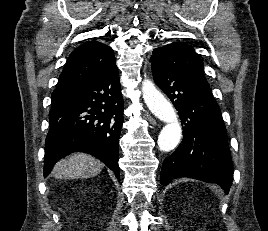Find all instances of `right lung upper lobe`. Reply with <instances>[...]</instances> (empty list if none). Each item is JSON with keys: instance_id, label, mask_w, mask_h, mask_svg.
<instances>
[{"instance_id": "cb5924a9", "label": "right lung upper lobe", "mask_w": 268, "mask_h": 231, "mask_svg": "<svg viewBox=\"0 0 268 231\" xmlns=\"http://www.w3.org/2000/svg\"><path fill=\"white\" fill-rule=\"evenodd\" d=\"M111 47L100 42H86L67 60L55 91L75 90L86 80L101 73L115 62Z\"/></svg>"}]
</instances>
